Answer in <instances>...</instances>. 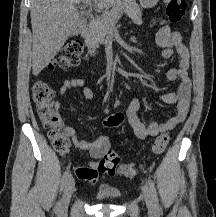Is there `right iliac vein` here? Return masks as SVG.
Masks as SVG:
<instances>
[{
  "mask_svg": "<svg viewBox=\"0 0 216 217\" xmlns=\"http://www.w3.org/2000/svg\"><path fill=\"white\" fill-rule=\"evenodd\" d=\"M74 186H75L74 179L70 177L65 186L63 197L61 199L60 208H59L60 213H64L67 211L71 196L74 191Z\"/></svg>",
  "mask_w": 216,
  "mask_h": 217,
  "instance_id": "1",
  "label": "right iliac vein"
}]
</instances>
